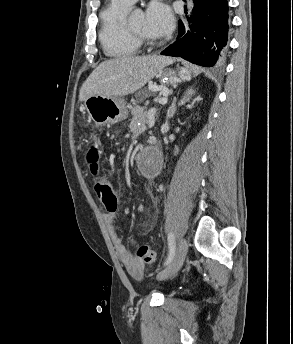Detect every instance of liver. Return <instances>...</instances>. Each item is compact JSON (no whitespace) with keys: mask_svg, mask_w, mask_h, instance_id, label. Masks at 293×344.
Returning <instances> with one entry per match:
<instances>
[{"mask_svg":"<svg viewBox=\"0 0 293 344\" xmlns=\"http://www.w3.org/2000/svg\"><path fill=\"white\" fill-rule=\"evenodd\" d=\"M174 60L167 56L119 57L102 62L83 83L79 100L133 94Z\"/></svg>","mask_w":293,"mask_h":344,"instance_id":"6515ba94","label":"liver"}]
</instances>
